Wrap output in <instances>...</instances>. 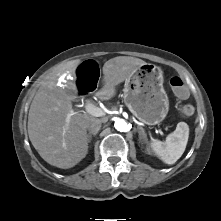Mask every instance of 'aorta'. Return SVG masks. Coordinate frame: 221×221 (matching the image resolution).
I'll return each mask as SVG.
<instances>
[{
    "instance_id": "aorta-1",
    "label": "aorta",
    "mask_w": 221,
    "mask_h": 221,
    "mask_svg": "<svg viewBox=\"0 0 221 221\" xmlns=\"http://www.w3.org/2000/svg\"><path fill=\"white\" fill-rule=\"evenodd\" d=\"M114 127L117 131H120V132H127L129 130V126L127 122L123 119H117L115 121Z\"/></svg>"
}]
</instances>
